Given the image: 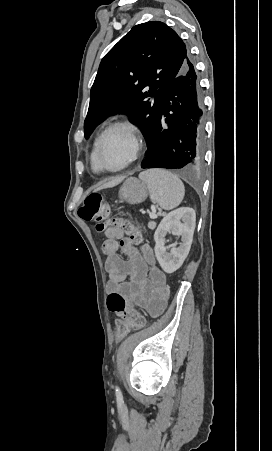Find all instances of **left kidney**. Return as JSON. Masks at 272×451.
<instances>
[{"mask_svg": "<svg viewBox=\"0 0 272 451\" xmlns=\"http://www.w3.org/2000/svg\"><path fill=\"white\" fill-rule=\"evenodd\" d=\"M183 224H182V222ZM196 226V214L193 208H178L174 212H169L154 233L156 241L154 251L155 255L166 273H173L181 267L185 257H187ZM171 231L173 235H181L179 247H171L170 253L166 251L165 235Z\"/></svg>", "mask_w": 272, "mask_h": 451, "instance_id": "5707ae66", "label": "left kidney"}]
</instances>
